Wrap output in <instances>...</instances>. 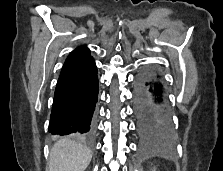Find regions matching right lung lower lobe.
Returning a JSON list of instances; mask_svg holds the SVG:
<instances>
[{
	"mask_svg": "<svg viewBox=\"0 0 223 171\" xmlns=\"http://www.w3.org/2000/svg\"><path fill=\"white\" fill-rule=\"evenodd\" d=\"M98 91L93 58L62 71L55 89L49 132L91 140Z\"/></svg>",
	"mask_w": 223,
	"mask_h": 171,
	"instance_id": "98d812e1",
	"label": "right lung lower lobe"
}]
</instances>
